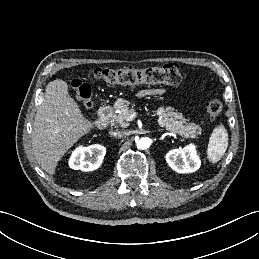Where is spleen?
I'll use <instances>...</instances> for the list:
<instances>
[{
	"instance_id": "1",
	"label": "spleen",
	"mask_w": 259,
	"mask_h": 259,
	"mask_svg": "<svg viewBox=\"0 0 259 259\" xmlns=\"http://www.w3.org/2000/svg\"><path fill=\"white\" fill-rule=\"evenodd\" d=\"M228 147V133L221 124L214 128L207 148V157L213 163H217L224 156Z\"/></svg>"
}]
</instances>
